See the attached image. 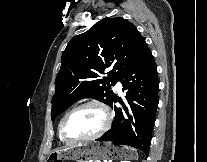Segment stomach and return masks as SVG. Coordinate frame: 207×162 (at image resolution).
Wrapping results in <instances>:
<instances>
[{
    "label": "stomach",
    "instance_id": "obj_1",
    "mask_svg": "<svg viewBox=\"0 0 207 162\" xmlns=\"http://www.w3.org/2000/svg\"><path fill=\"white\" fill-rule=\"evenodd\" d=\"M135 159L136 153L129 147H118L112 143H84L75 147L52 152L50 162L75 160L76 162H101V160Z\"/></svg>",
    "mask_w": 207,
    "mask_h": 162
}]
</instances>
